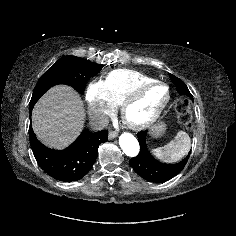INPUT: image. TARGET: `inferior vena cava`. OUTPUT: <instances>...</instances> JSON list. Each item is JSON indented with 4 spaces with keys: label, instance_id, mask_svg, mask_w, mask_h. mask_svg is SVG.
I'll list each match as a JSON object with an SVG mask.
<instances>
[{
    "label": "inferior vena cava",
    "instance_id": "1",
    "mask_svg": "<svg viewBox=\"0 0 236 236\" xmlns=\"http://www.w3.org/2000/svg\"><path fill=\"white\" fill-rule=\"evenodd\" d=\"M109 124V118L105 114L94 116L90 120V126L95 131H100L106 128Z\"/></svg>",
    "mask_w": 236,
    "mask_h": 236
}]
</instances>
